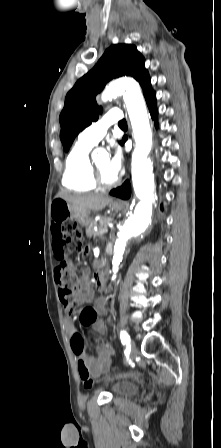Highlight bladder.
Returning <instances> with one entry per match:
<instances>
[{
    "mask_svg": "<svg viewBox=\"0 0 221 448\" xmlns=\"http://www.w3.org/2000/svg\"><path fill=\"white\" fill-rule=\"evenodd\" d=\"M136 390L137 387L133 381L119 380L113 384L111 393L113 398L119 399L132 396Z\"/></svg>",
    "mask_w": 221,
    "mask_h": 448,
    "instance_id": "bladder-1",
    "label": "bladder"
}]
</instances>
